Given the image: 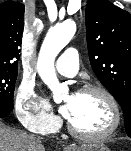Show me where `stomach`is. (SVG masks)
<instances>
[{"instance_id":"stomach-1","label":"stomach","mask_w":131,"mask_h":151,"mask_svg":"<svg viewBox=\"0 0 131 151\" xmlns=\"http://www.w3.org/2000/svg\"><path fill=\"white\" fill-rule=\"evenodd\" d=\"M67 151H110L103 143L93 142L77 148H68Z\"/></svg>"}]
</instances>
